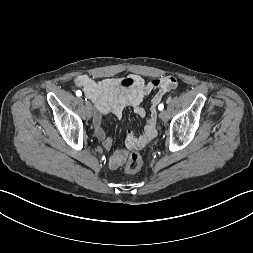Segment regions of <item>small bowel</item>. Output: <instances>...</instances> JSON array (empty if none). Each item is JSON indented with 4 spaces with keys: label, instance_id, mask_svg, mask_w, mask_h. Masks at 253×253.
Returning a JSON list of instances; mask_svg holds the SVG:
<instances>
[{
    "label": "small bowel",
    "instance_id": "c3829d8e",
    "mask_svg": "<svg viewBox=\"0 0 253 253\" xmlns=\"http://www.w3.org/2000/svg\"><path fill=\"white\" fill-rule=\"evenodd\" d=\"M75 84L84 90L85 95L94 104V132L104 148L108 150L111 149L113 141L106 135L102 127V115L112 113L121 117L125 108L131 107L138 117H144L146 110L142 106L143 99L152 91H157L143 132L140 134L133 131L128 132L124 148L116 151L109 159V166L112 169L120 167L132 149L146 146L156 136L155 105L167 92L175 89L178 85L173 76L144 80L141 76L130 75L125 79L105 78L95 81L85 74L78 75L75 78Z\"/></svg>",
    "mask_w": 253,
    "mask_h": 253
}]
</instances>
